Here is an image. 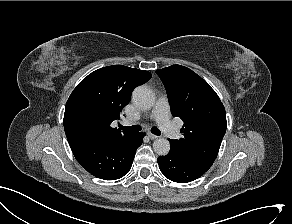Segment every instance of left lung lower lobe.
I'll return each mask as SVG.
<instances>
[{
	"instance_id": "obj_1",
	"label": "left lung lower lobe",
	"mask_w": 292,
	"mask_h": 224,
	"mask_svg": "<svg viewBox=\"0 0 292 224\" xmlns=\"http://www.w3.org/2000/svg\"><path fill=\"white\" fill-rule=\"evenodd\" d=\"M157 161L163 175L178 183L196 180L209 169L172 146L168 155L158 157Z\"/></svg>"
}]
</instances>
